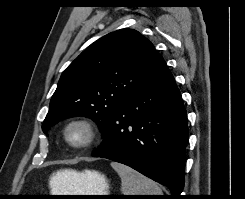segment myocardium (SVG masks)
Wrapping results in <instances>:
<instances>
[{
    "label": "myocardium",
    "mask_w": 245,
    "mask_h": 199,
    "mask_svg": "<svg viewBox=\"0 0 245 199\" xmlns=\"http://www.w3.org/2000/svg\"><path fill=\"white\" fill-rule=\"evenodd\" d=\"M74 125H80L84 127L87 132L86 140L80 144L73 143L68 136L69 129ZM63 136L65 142L72 148L82 150L87 149L94 144L98 137V130L93 121L85 117H74L66 122L63 128Z\"/></svg>",
    "instance_id": "f54148a6"
}]
</instances>
